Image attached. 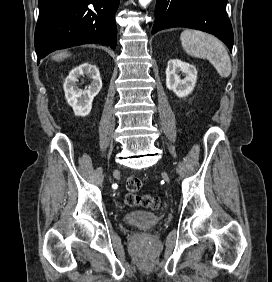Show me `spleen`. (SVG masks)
Masks as SVG:
<instances>
[{
  "label": "spleen",
  "instance_id": "spleen-1",
  "mask_svg": "<svg viewBox=\"0 0 272 282\" xmlns=\"http://www.w3.org/2000/svg\"><path fill=\"white\" fill-rule=\"evenodd\" d=\"M184 51L193 57L206 58L221 77L231 73V61L224 45L215 37L196 30H184L180 35Z\"/></svg>",
  "mask_w": 272,
  "mask_h": 282
}]
</instances>
